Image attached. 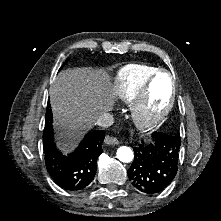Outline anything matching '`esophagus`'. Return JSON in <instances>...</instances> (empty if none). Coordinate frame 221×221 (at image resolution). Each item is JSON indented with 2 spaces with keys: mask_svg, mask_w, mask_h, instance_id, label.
<instances>
[{
  "mask_svg": "<svg viewBox=\"0 0 221 221\" xmlns=\"http://www.w3.org/2000/svg\"><path fill=\"white\" fill-rule=\"evenodd\" d=\"M104 142L108 145H118L119 144V141L116 137H113V136H110V135H107L104 139Z\"/></svg>",
  "mask_w": 221,
  "mask_h": 221,
  "instance_id": "1",
  "label": "esophagus"
}]
</instances>
